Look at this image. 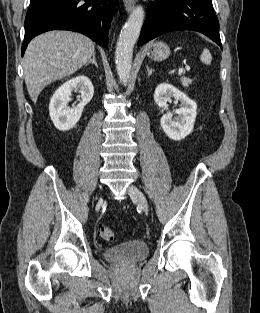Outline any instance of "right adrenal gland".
Returning a JSON list of instances; mask_svg holds the SVG:
<instances>
[{
    "mask_svg": "<svg viewBox=\"0 0 260 313\" xmlns=\"http://www.w3.org/2000/svg\"><path fill=\"white\" fill-rule=\"evenodd\" d=\"M90 63H93L96 67H98L96 58H95V53L92 55V59H90L87 63L86 66L89 65Z\"/></svg>",
    "mask_w": 260,
    "mask_h": 313,
    "instance_id": "2a0ac1e0",
    "label": "right adrenal gland"
}]
</instances>
